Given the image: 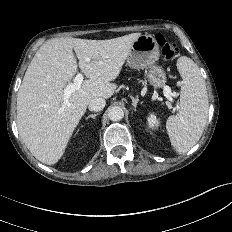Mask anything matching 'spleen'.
<instances>
[{
    "label": "spleen",
    "mask_w": 232,
    "mask_h": 232,
    "mask_svg": "<svg viewBox=\"0 0 232 232\" xmlns=\"http://www.w3.org/2000/svg\"><path fill=\"white\" fill-rule=\"evenodd\" d=\"M183 79L180 95V112L167 119L166 129L174 150L189 151L200 139L208 115L206 85L198 66L186 56L177 60Z\"/></svg>",
    "instance_id": "1"
}]
</instances>
